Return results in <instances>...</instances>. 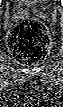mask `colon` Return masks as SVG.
I'll return each instance as SVG.
<instances>
[{"mask_svg": "<svg viewBox=\"0 0 63 107\" xmlns=\"http://www.w3.org/2000/svg\"><path fill=\"white\" fill-rule=\"evenodd\" d=\"M50 46L47 28L36 20H23L16 24L9 35V47L21 63L42 61Z\"/></svg>", "mask_w": 63, "mask_h": 107, "instance_id": "5ec220e1", "label": "colon"}]
</instances>
